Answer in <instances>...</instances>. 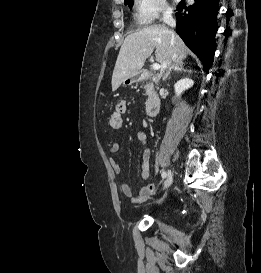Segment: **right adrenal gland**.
Wrapping results in <instances>:
<instances>
[{
  "label": "right adrenal gland",
  "instance_id": "1",
  "mask_svg": "<svg viewBox=\"0 0 261 273\" xmlns=\"http://www.w3.org/2000/svg\"><path fill=\"white\" fill-rule=\"evenodd\" d=\"M172 69H173L174 71H185V70H184V63H183V61H179V62L175 63V64L167 71V73L164 75L163 80H166V79L169 77V75H170Z\"/></svg>",
  "mask_w": 261,
  "mask_h": 273
}]
</instances>
